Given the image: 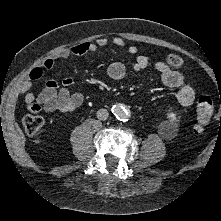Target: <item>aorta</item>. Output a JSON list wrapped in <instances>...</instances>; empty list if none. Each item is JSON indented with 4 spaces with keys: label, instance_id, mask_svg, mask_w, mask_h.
Here are the masks:
<instances>
[{
    "label": "aorta",
    "instance_id": "obj_1",
    "mask_svg": "<svg viewBox=\"0 0 221 221\" xmlns=\"http://www.w3.org/2000/svg\"><path fill=\"white\" fill-rule=\"evenodd\" d=\"M112 111L117 119L119 120H126L128 118V111L121 105H114L112 107Z\"/></svg>",
    "mask_w": 221,
    "mask_h": 221
}]
</instances>
